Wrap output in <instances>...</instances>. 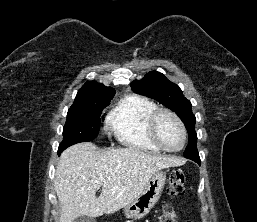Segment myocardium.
Wrapping results in <instances>:
<instances>
[{
	"instance_id": "f54148a6",
	"label": "myocardium",
	"mask_w": 257,
	"mask_h": 222,
	"mask_svg": "<svg viewBox=\"0 0 257 222\" xmlns=\"http://www.w3.org/2000/svg\"><path fill=\"white\" fill-rule=\"evenodd\" d=\"M164 114L172 117L176 121V123L178 124V126L181 130L182 143H181L180 147H178L176 149H170V148L166 147L160 141V139L157 135L156 124H157V121L160 118V116H162ZM147 132H148L150 139L153 141V143L157 147H159L162 151L169 152V153H175V152L181 151L185 147V144L187 141V131H186V127H185L183 121L175 112H173L172 110H169V109H165V108H158L150 115L148 122H147Z\"/></svg>"
}]
</instances>
